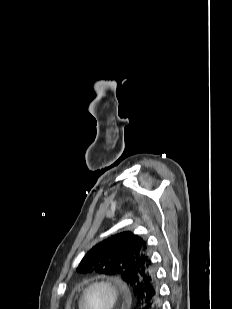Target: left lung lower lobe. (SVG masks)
Here are the masks:
<instances>
[{"label": "left lung lower lobe", "instance_id": "left-lung-lower-lobe-1", "mask_svg": "<svg viewBox=\"0 0 232 309\" xmlns=\"http://www.w3.org/2000/svg\"><path fill=\"white\" fill-rule=\"evenodd\" d=\"M162 300L161 295L159 293V286L156 282L152 284L151 288L149 289L145 299L139 302L140 309H161Z\"/></svg>", "mask_w": 232, "mask_h": 309}]
</instances>
